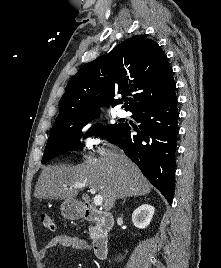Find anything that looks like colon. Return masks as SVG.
<instances>
[{
    "label": "colon",
    "instance_id": "colon-1",
    "mask_svg": "<svg viewBox=\"0 0 221 268\" xmlns=\"http://www.w3.org/2000/svg\"><path fill=\"white\" fill-rule=\"evenodd\" d=\"M40 219L42 224L48 228L49 230H54L55 229V224L52 220V218L50 217V215L46 212H42L40 215Z\"/></svg>",
    "mask_w": 221,
    "mask_h": 268
}]
</instances>
